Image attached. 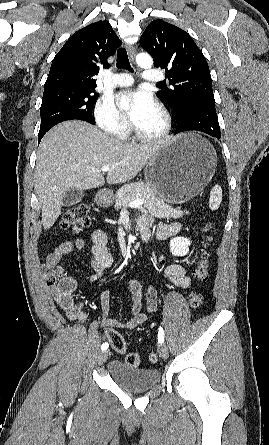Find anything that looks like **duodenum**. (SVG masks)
I'll return each mask as SVG.
<instances>
[{
    "mask_svg": "<svg viewBox=\"0 0 269 445\" xmlns=\"http://www.w3.org/2000/svg\"><path fill=\"white\" fill-rule=\"evenodd\" d=\"M149 237V234H141L143 244H145L149 240Z\"/></svg>",
    "mask_w": 269,
    "mask_h": 445,
    "instance_id": "duodenum-1",
    "label": "duodenum"
}]
</instances>
